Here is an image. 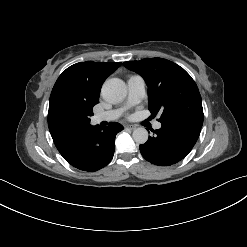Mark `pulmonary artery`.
Here are the masks:
<instances>
[{
	"label": "pulmonary artery",
	"instance_id": "pulmonary-artery-1",
	"mask_svg": "<svg viewBox=\"0 0 247 247\" xmlns=\"http://www.w3.org/2000/svg\"><path fill=\"white\" fill-rule=\"evenodd\" d=\"M127 85H128V97L125 107L139 103L145 96V88H146L144 79L138 75L131 76L127 81ZM124 108L98 113L94 116V121L101 122L104 120L116 119L121 115ZM154 127L156 129H160L161 123L159 122L155 123Z\"/></svg>",
	"mask_w": 247,
	"mask_h": 247
}]
</instances>
